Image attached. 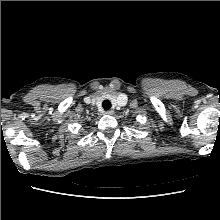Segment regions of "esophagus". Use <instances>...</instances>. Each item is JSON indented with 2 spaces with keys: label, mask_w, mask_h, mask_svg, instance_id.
<instances>
[{
  "label": "esophagus",
  "mask_w": 220,
  "mask_h": 220,
  "mask_svg": "<svg viewBox=\"0 0 220 220\" xmlns=\"http://www.w3.org/2000/svg\"><path fill=\"white\" fill-rule=\"evenodd\" d=\"M113 113H114L113 110H107V111L105 112V114H107V115H112Z\"/></svg>",
  "instance_id": "esophagus-1"
}]
</instances>
